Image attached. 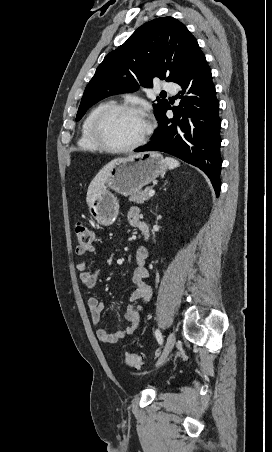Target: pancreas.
<instances>
[{"mask_svg": "<svg viewBox=\"0 0 272 452\" xmlns=\"http://www.w3.org/2000/svg\"><path fill=\"white\" fill-rule=\"evenodd\" d=\"M152 190L151 187H147L142 191L137 192L136 194L129 197V201L137 203V204H143L145 201L149 199V192Z\"/></svg>", "mask_w": 272, "mask_h": 452, "instance_id": "1", "label": "pancreas"}]
</instances>
